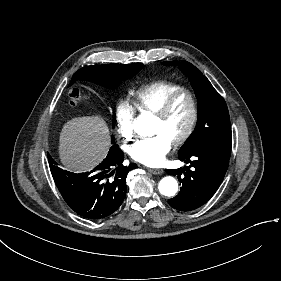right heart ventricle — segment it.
I'll return each mask as SVG.
<instances>
[{
    "instance_id": "obj_1",
    "label": "right heart ventricle",
    "mask_w": 281,
    "mask_h": 281,
    "mask_svg": "<svg viewBox=\"0 0 281 281\" xmlns=\"http://www.w3.org/2000/svg\"><path fill=\"white\" fill-rule=\"evenodd\" d=\"M177 83L156 82L132 94V103L138 113L146 114L157 110L171 95L184 91Z\"/></svg>"
}]
</instances>
